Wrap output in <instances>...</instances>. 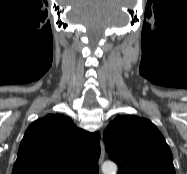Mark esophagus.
<instances>
[{"mask_svg": "<svg viewBox=\"0 0 187 174\" xmlns=\"http://www.w3.org/2000/svg\"><path fill=\"white\" fill-rule=\"evenodd\" d=\"M104 156H105V146H104L103 139L101 137V140H100V157H99V163L100 164L103 162Z\"/></svg>", "mask_w": 187, "mask_h": 174, "instance_id": "34e87169", "label": "esophagus"}]
</instances>
